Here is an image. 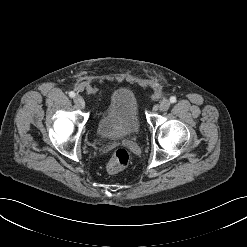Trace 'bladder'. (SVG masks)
I'll return each mask as SVG.
<instances>
[{
	"label": "bladder",
	"instance_id": "31cf9c89",
	"mask_svg": "<svg viewBox=\"0 0 247 247\" xmlns=\"http://www.w3.org/2000/svg\"><path fill=\"white\" fill-rule=\"evenodd\" d=\"M140 129L138 104L128 89L116 90L102 114L97 131L106 140H121L134 136Z\"/></svg>",
	"mask_w": 247,
	"mask_h": 247
}]
</instances>
